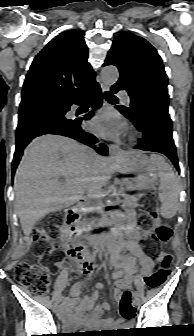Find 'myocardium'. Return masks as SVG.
<instances>
[{
    "instance_id": "1",
    "label": "myocardium",
    "mask_w": 194,
    "mask_h": 336,
    "mask_svg": "<svg viewBox=\"0 0 194 336\" xmlns=\"http://www.w3.org/2000/svg\"><path fill=\"white\" fill-rule=\"evenodd\" d=\"M127 139L130 141V142H136L138 139H139V134L136 130L134 129H129L128 132H127Z\"/></svg>"
}]
</instances>
